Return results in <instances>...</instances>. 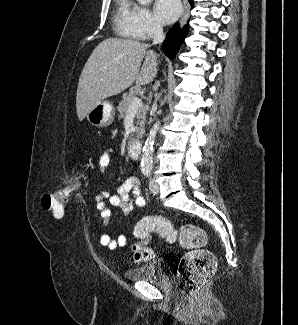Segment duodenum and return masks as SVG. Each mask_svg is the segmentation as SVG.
<instances>
[{
    "instance_id": "1",
    "label": "duodenum",
    "mask_w": 298,
    "mask_h": 325,
    "mask_svg": "<svg viewBox=\"0 0 298 325\" xmlns=\"http://www.w3.org/2000/svg\"><path fill=\"white\" fill-rule=\"evenodd\" d=\"M142 143L138 140L131 141L128 145V152L129 155L134 158L138 159L142 153Z\"/></svg>"
}]
</instances>
